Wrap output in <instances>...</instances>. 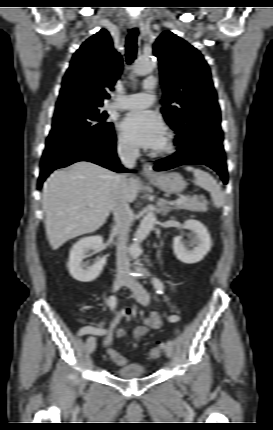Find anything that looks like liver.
<instances>
[{
	"mask_svg": "<svg viewBox=\"0 0 273 430\" xmlns=\"http://www.w3.org/2000/svg\"><path fill=\"white\" fill-rule=\"evenodd\" d=\"M115 176L89 161L75 162L50 175L43 187L42 205L53 250L103 226L113 209ZM123 191L126 200L133 202L138 194L137 181L128 178Z\"/></svg>",
	"mask_w": 273,
	"mask_h": 430,
	"instance_id": "obj_1",
	"label": "liver"
}]
</instances>
